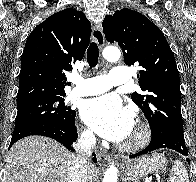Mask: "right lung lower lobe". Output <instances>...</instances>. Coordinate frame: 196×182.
I'll use <instances>...</instances> for the list:
<instances>
[{
  "label": "right lung lower lobe",
  "instance_id": "1",
  "mask_svg": "<svg viewBox=\"0 0 196 182\" xmlns=\"http://www.w3.org/2000/svg\"><path fill=\"white\" fill-rule=\"evenodd\" d=\"M30 135H42L53 138L72 151L74 149L71 145L77 140L75 123L66 125L54 121H35L15 127L9 147L19 139ZM93 161L97 162L96 157L93 158Z\"/></svg>",
  "mask_w": 196,
  "mask_h": 182
}]
</instances>
